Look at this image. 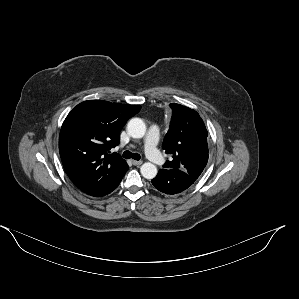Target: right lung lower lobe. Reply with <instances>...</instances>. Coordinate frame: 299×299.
<instances>
[{
    "label": "right lung lower lobe",
    "mask_w": 299,
    "mask_h": 299,
    "mask_svg": "<svg viewBox=\"0 0 299 299\" xmlns=\"http://www.w3.org/2000/svg\"><path fill=\"white\" fill-rule=\"evenodd\" d=\"M128 170V165L126 167V169L124 170V172L122 173L121 177L118 179L117 183L115 184V186L112 188V190L110 192H112L120 183L121 179L123 178V176L125 175L126 171ZM109 192V193H110Z\"/></svg>",
    "instance_id": "1"
}]
</instances>
